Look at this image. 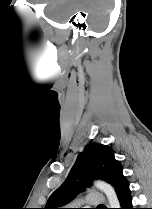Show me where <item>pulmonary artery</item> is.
Instances as JSON below:
<instances>
[{"label": "pulmonary artery", "mask_w": 152, "mask_h": 209, "mask_svg": "<svg viewBox=\"0 0 152 209\" xmlns=\"http://www.w3.org/2000/svg\"><path fill=\"white\" fill-rule=\"evenodd\" d=\"M105 201L100 192H93L88 194L85 198L78 200V204H86L91 206H101Z\"/></svg>", "instance_id": "pulmonary-artery-1"}]
</instances>
